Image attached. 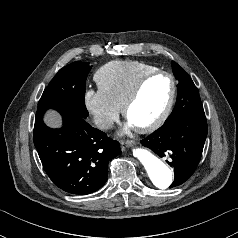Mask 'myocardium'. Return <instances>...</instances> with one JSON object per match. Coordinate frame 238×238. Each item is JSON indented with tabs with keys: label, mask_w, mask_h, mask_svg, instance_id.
Here are the masks:
<instances>
[{
	"label": "myocardium",
	"mask_w": 238,
	"mask_h": 238,
	"mask_svg": "<svg viewBox=\"0 0 238 238\" xmlns=\"http://www.w3.org/2000/svg\"><path fill=\"white\" fill-rule=\"evenodd\" d=\"M157 76H165L169 79L170 85H171L170 96H169V99H168V102H167L165 108L153 122H151L150 124H148L146 126L135 127L136 131L139 133H150V132H153L154 130L158 129L165 122V120L168 118V116L173 108L174 102H175L177 86H176V82H175L173 75L166 71L156 70L154 72H151V73L143 76L136 83V85L134 86V88L132 89V91L130 92L128 97L126 98L125 102L123 103V106H122L123 116L126 119H128L129 109L137 101V99L140 96L146 83L149 80H151Z\"/></svg>",
	"instance_id": "myocardium-1"
}]
</instances>
